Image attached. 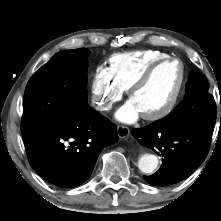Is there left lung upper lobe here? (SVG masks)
Returning a JSON list of instances; mask_svg holds the SVG:
<instances>
[{"instance_id": "left-lung-upper-lobe-1", "label": "left lung upper lobe", "mask_w": 221, "mask_h": 221, "mask_svg": "<svg viewBox=\"0 0 221 221\" xmlns=\"http://www.w3.org/2000/svg\"><path fill=\"white\" fill-rule=\"evenodd\" d=\"M208 89L206 76L200 72H192L186 83L183 101L168 116L156 122L162 127L187 124L214 127L216 104Z\"/></svg>"}]
</instances>
